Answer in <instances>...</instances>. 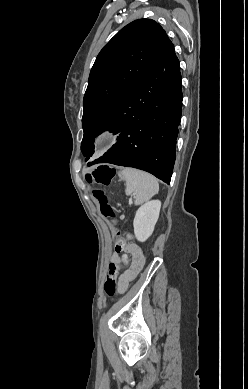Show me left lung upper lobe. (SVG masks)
Instances as JSON below:
<instances>
[{
    "instance_id": "left-lung-upper-lobe-1",
    "label": "left lung upper lobe",
    "mask_w": 248,
    "mask_h": 389,
    "mask_svg": "<svg viewBox=\"0 0 248 389\" xmlns=\"http://www.w3.org/2000/svg\"><path fill=\"white\" fill-rule=\"evenodd\" d=\"M172 45L165 30L150 19L122 28L100 51L91 69L83 99L81 151L88 160L94 138L153 64Z\"/></svg>"
}]
</instances>
